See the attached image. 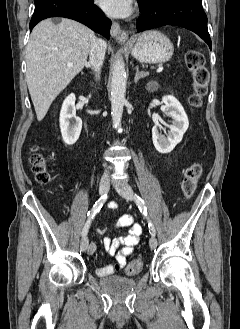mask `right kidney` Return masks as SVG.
Wrapping results in <instances>:
<instances>
[{"label":"right kidney","instance_id":"obj_1","mask_svg":"<svg viewBox=\"0 0 240 329\" xmlns=\"http://www.w3.org/2000/svg\"><path fill=\"white\" fill-rule=\"evenodd\" d=\"M75 100L74 94L66 97L60 112L61 134L67 145H73L78 140L82 129V120L76 117Z\"/></svg>","mask_w":240,"mask_h":329}]
</instances>
